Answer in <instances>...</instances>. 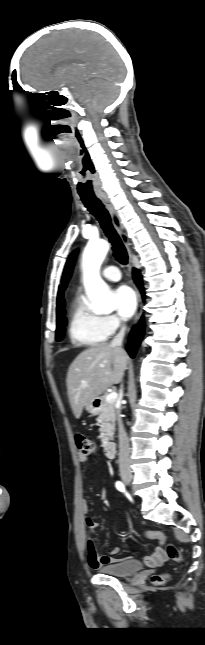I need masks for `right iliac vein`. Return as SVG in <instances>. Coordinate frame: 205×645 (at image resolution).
Returning <instances> with one entry per match:
<instances>
[{
  "label": "right iliac vein",
  "mask_w": 205,
  "mask_h": 645,
  "mask_svg": "<svg viewBox=\"0 0 205 645\" xmlns=\"http://www.w3.org/2000/svg\"><path fill=\"white\" fill-rule=\"evenodd\" d=\"M121 477L126 484H131L133 480V476L131 473H123Z\"/></svg>",
  "instance_id": "63e3f726"
}]
</instances>
